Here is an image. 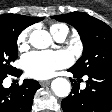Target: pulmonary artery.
<instances>
[{
	"label": "pulmonary artery",
	"mask_w": 112,
	"mask_h": 112,
	"mask_svg": "<svg viewBox=\"0 0 112 112\" xmlns=\"http://www.w3.org/2000/svg\"><path fill=\"white\" fill-rule=\"evenodd\" d=\"M66 35H67L66 32H65V33H61V34H59L55 39H56L57 41H59V42H62V41H64Z\"/></svg>",
	"instance_id": "1"
}]
</instances>
